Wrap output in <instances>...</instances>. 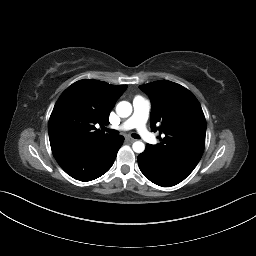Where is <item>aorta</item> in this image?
I'll return each instance as SVG.
<instances>
[{
    "label": "aorta",
    "mask_w": 256,
    "mask_h": 256,
    "mask_svg": "<svg viewBox=\"0 0 256 256\" xmlns=\"http://www.w3.org/2000/svg\"><path fill=\"white\" fill-rule=\"evenodd\" d=\"M116 113L121 118H127L132 113V105L127 101H121L116 106ZM132 148L134 152L142 153L145 150V144L142 141H135Z\"/></svg>",
    "instance_id": "1"
}]
</instances>
